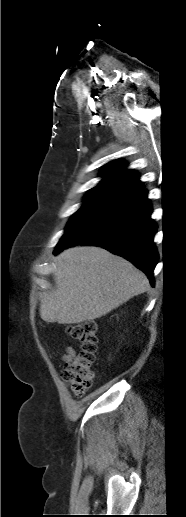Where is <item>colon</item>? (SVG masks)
I'll use <instances>...</instances> for the list:
<instances>
[{"label":"colon","mask_w":186,"mask_h":517,"mask_svg":"<svg viewBox=\"0 0 186 517\" xmlns=\"http://www.w3.org/2000/svg\"><path fill=\"white\" fill-rule=\"evenodd\" d=\"M67 333L80 343V351L65 364L61 378L75 395L82 396L92 386L94 378L97 325L93 321L69 324Z\"/></svg>","instance_id":"1"}]
</instances>
